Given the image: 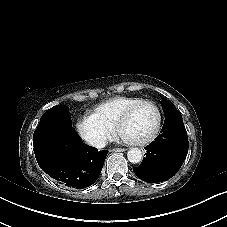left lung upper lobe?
Here are the masks:
<instances>
[{"label": "left lung upper lobe", "instance_id": "5c2ea615", "mask_svg": "<svg viewBox=\"0 0 227 227\" xmlns=\"http://www.w3.org/2000/svg\"><path fill=\"white\" fill-rule=\"evenodd\" d=\"M160 103L165 114V120L168 118H182L181 113L176 109L172 102L164 99Z\"/></svg>", "mask_w": 227, "mask_h": 227}]
</instances>
